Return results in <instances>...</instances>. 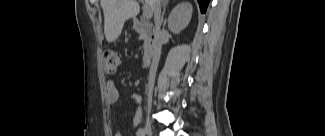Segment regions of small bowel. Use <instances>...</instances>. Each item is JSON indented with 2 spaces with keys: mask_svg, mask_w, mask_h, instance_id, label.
<instances>
[{
  "mask_svg": "<svg viewBox=\"0 0 325 136\" xmlns=\"http://www.w3.org/2000/svg\"><path fill=\"white\" fill-rule=\"evenodd\" d=\"M105 97H106V102L108 104H114L118 101L119 99V90L116 87V85L114 84L113 81H109L107 83V87H106V92H105ZM131 99L136 103V104H140L142 102V97L141 95L134 93L131 95ZM142 110L140 107H136L134 109V115H133V119H132V125L134 127L138 126L141 121H142ZM115 136H121L120 133H116Z\"/></svg>",
  "mask_w": 325,
  "mask_h": 136,
  "instance_id": "c3829d8e",
  "label": "small bowel"
}]
</instances>
